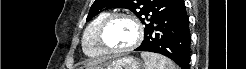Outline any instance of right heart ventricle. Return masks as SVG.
<instances>
[{
	"mask_svg": "<svg viewBox=\"0 0 246 69\" xmlns=\"http://www.w3.org/2000/svg\"><path fill=\"white\" fill-rule=\"evenodd\" d=\"M110 13L108 11H102L97 14L91 22L87 25L83 33V50L84 52L91 57H98L104 55V50L99 45L97 38V31L101 22L108 16Z\"/></svg>",
	"mask_w": 246,
	"mask_h": 69,
	"instance_id": "right-heart-ventricle-1",
	"label": "right heart ventricle"
}]
</instances>
